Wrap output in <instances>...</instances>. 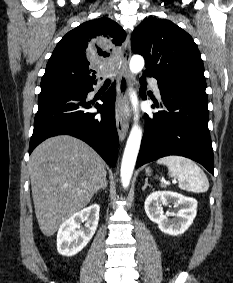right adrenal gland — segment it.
I'll use <instances>...</instances> for the list:
<instances>
[{
  "label": "right adrenal gland",
  "instance_id": "2a0ac1e0",
  "mask_svg": "<svg viewBox=\"0 0 233 283\" xmlns=\"http://www.w3.org/2000/svg\"><path fill=\"white\" fill-rule=\"evenodd\" d=\"M106 187H107V179H106V175H105L103 181L101 182V184H100L99 187L97 188L96 193H97L100 189L105 190Z\"/></svg>",
  "mask_w": 233,
  "mask_h": 283
}]
</instances>
